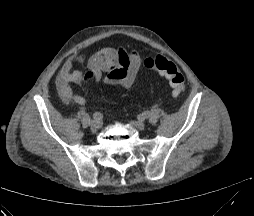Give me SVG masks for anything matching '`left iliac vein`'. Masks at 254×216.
I'll return each instance as SVG.
<instances>
[{"mask_svg": "<svg viewBox=\"0 0 254 216\" xmlns=\"http://www.w3.org/2000/svg\"><path fill=\"white\" fill-rule=\"evenodd\" d=\"M132 126L139 129V130H143L145 128V123L142 121H134L131 122Z\"/></svg>", "mask_w": 254, "mask_h": 216, "instance_id": "obj_1", "label": "left iliac vein"}]
</instances>
